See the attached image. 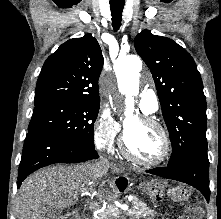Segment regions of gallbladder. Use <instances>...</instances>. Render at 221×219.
I'll list each match as a JSON object with an SVG mask.
<instances>
[{
	"label": "gallbladder",
	"instance_id": "gallbladder-1",
	"mask_svg": "<svg viewBox=\"0 0 221 219\" xmlns=\"http://www.w3.org/2000/svg\"><path fill=\"white\" fill-rule=\"evenodd\" d=\"M62 210L51 209L47 212L45 219H61Z\"/></svg>",
	"mask_w": 221,
	"mask_h": 219
}]
</instances>
